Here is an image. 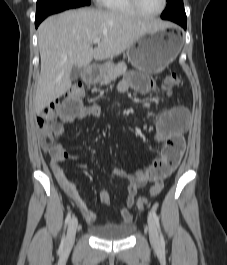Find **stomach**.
<instances>
[{
  "label": "stomach",
  "instance_id": "stomach-1",
  "mask_svg": "<svg viewBox=\"0 0 227 265\" xmlns=\"http://www.w3.org/2000/svg\"><path fill=\"white\" fill-rule=\"evenodd\" d=\"M181 50V37L174 31L157 30L142 35L127 50L128 61L136 69L158 74L172 63ZM111 64L100 66L90 77L99 81Z\"/></svg>",
  "mask_w": 227,
  "mask_h": 265
}]
</instances>
